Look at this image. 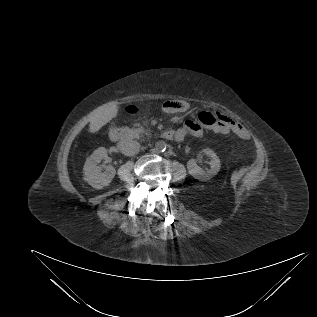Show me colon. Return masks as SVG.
Wrapping results in <instances>:
<instances>
[{
	"label": "colon",
	"instance_id": "obj_1",
	"mask_svg": "<svg viewBox=\"0 0 317 317\" xmlns=\"http://www.w3.org/2000/svg\"><path fill=\"white\" fill-rule=\"evenodd\" d=\"M199 120L202 124L213 127L219 123L220 117L216 112L203 111L199 114Z\"/></svg>",
	"mask_w": 317,
	"mask_h": 317
}]
</instances>
